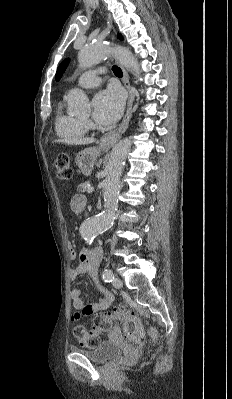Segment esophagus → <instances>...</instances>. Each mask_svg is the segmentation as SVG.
<instances>
[{"instance_id":"1","label":"esophagus","mask_w":232,"mask_h":399,"mask_svg":"<svg viewBox=\"0 0 232 399\" xmlns=\"http://www.w3.org/2000/svg\"><path fill=\"white\" fill-rule=\"evenodd\" d=\"M112 40H115V35H112ZM122 73H123V83L125 85V87L128 90L129 93V97H128V101H127V108H126V112H125V116L120 124V126L115 129V130H111L110 132H107L106 134L102 135V137L100 138V142H99V147L103 148V149H108L110 147H112L117 140H119L121 138V136L124 134V132H126L129 122H130V118L132 116V105L134 102V93L132 91L130 82H129V77H128V73L125 70L124 67H122V65H120Z\"/></svg>"}]
</instances>
